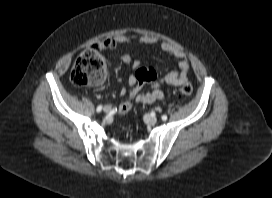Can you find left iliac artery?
<instances>
[{
  "instance_id": "left-iliac-artery-1",
  "label": "left iliac artery",
  "mask_w": 272,
  "mask_h": 198,
  "mask_svg": "<svg viewBox=\"0 0 272 198\" xmlns=\"http://www.w3.org/2000/svg\"><path fill=\"white\" fill-rule=\"evenodd\" d=\"M161 118H162L163 121L167 120V116L166 115H162Z\"/></svg>"
}]
</instances>
